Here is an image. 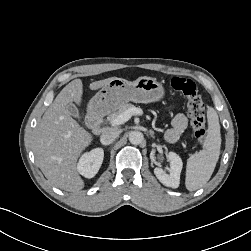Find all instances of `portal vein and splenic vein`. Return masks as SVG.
I'll return each instance as SVG.
<instances>
[{
    "label": "portal vein and splenic vein",
    "instance_id": "portal-vein-and-splenic-vein-1",
    "mask_svg": "<svg viewBox=\"0 0 251 251\" xmlns=\"http://www.w3.org/2000/svg\"><path fill=\"white\" fill-rule=\"evenodd\" d=\"M143 111L140 108H129L126 111L119 114L110 123L112 126H117L126 123L133 115H142Z\"/></svg>",
    "mask_w": 251,
    "mask_h": 251
}]
</instances>
